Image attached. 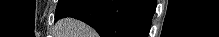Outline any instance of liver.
Here are the masks:
<instances>
[{"instance_id": "liver-1", "label": "liver", "mask_w": 219, "mask_h": 37, "mask_svg": "<svg viewBox=\"0 0 219 37\" xmlns=\"http://www.w3.org/2000/svg\"><path fill=\"white\" fill-rule=\"evenodd\" d=\"M57 37H96L95 31L85 23L73 19L64 18L56 24Z\"/></svg>"}]
</instances>
